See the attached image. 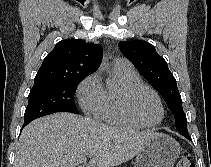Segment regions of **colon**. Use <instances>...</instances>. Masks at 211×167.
Listing matches in <instances>:
<instances>
[{
  "label": "colon",
  "instance_id": "colon-1",
  "mask_svg": "<svg viewBox=\"0 0 211 167\" xmlns=\"http://www.w3.org/2000/svg\"><path fill=\"white\" fill-rule=\"evenodd\" d=\"M175 167H195L191 158L188 155H184L176 164Z\"/></svg>",
  "mask_w": 211,
  "mask_h": 167
}]
</instances>
